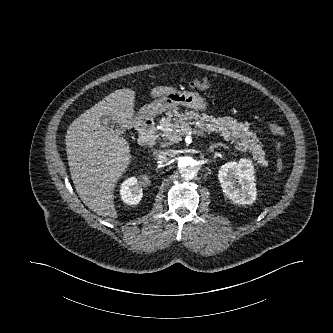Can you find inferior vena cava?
Instances as JSON below:
<instances>
[{"instance_id": "602c4592", "label": "inferior vena cava", "mask_w": 333, "mask_h": 333, "mask_svg": "<svg viewBox=\"0 0 333 333\" xmlns=\"http://www.w3.org/2000/svg\"><path fill=\"white\" fill-rule=\"evenodd\" d=\"M153 157L160 162H168L174 157V150H156Z\"/></svg>"}]
</instances>
